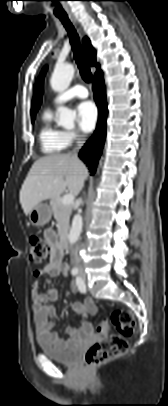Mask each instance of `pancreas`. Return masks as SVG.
I'll use <instances>...</instances> for the list:
<instances>
[{"mask_svg": "<svg viewBox=\"0 0 168 406\" xmlns=\"http://www.w3.org/2000/svg\"><path fill=\"white\" fill-rule=\"evenodd\" d=\"M61 200V197L52 198L50 201V206L54 218L58 223V234L60 237H63L67 234L69 229V219L72 213L73 205H63Z\"/></svg>", "mask_w": 168, "mask_h": 406, "instance_id": "obj_1", "label": "pancreas"}]
</instances>
